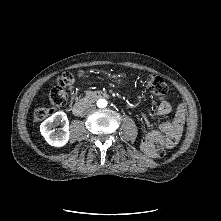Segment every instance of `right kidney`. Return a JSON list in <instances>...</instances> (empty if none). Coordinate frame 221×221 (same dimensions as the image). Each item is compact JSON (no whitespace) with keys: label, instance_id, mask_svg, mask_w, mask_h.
Segmentation results:
<instances>
[{"label":"right kidney","instance_id":"1","mask_svg":"<svg viewBox=\"0 0 221 221\" xmlns=\"http://www.w3.org/2000/svg\"><path fill=\"white\" fill-rule=\"evenodd\" d=\"M59 125L62 127L54 129L55 126ZM40 132L49 145L55 147H62L66 145L70 136L67 115L63 111L54 113L42 122L40 125Z\"/></svg>","mask_w":221,"mask_h":221}]
</instances>
